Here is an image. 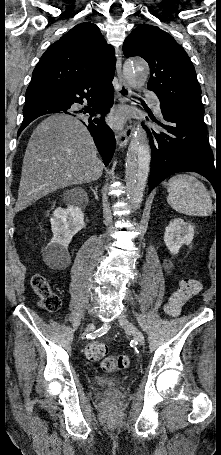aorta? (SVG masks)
Here are the masks:
<instances>
[{
	"mask_svg": "<svg viewBox=\"0 0 221 455\" xmlns=\"http://www.w3.org/2000/svg\"><path fill=\"white\" fill-rule=\"evenodd\" d=\"M123 75L130 87H141L149 76L148 64L139 58H129L123 66ZM151 150L146 133L136 129L131 138L125 166L127 197L135 208L143 200L150 170Z\"/></svg>",
	"mask_w": 221,
	"mask_h": 455,
	"instance_id": "aorta-1",
	"label": "aorta"
}]
</instances>
